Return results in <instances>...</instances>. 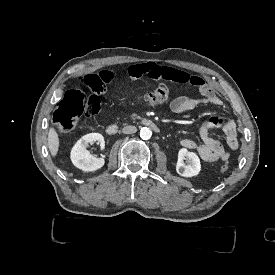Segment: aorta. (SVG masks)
<instances>
[{"instance_id":"1","label":"aorta","mask_w":275,"mask_h":275,"mask_svg":"<svg viewBox=\"0 0 275 275\" xmlns=\"http://www.w3.org/2000/svg\"><path fill=\"white\" fill-rule=\"evenodd\" d=\"M152 136V131L148 127H142L140 130V137L144 140L150 139Z\"/></svg>"}]
</instances>
